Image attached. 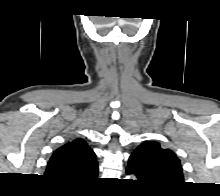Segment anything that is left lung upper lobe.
I'll list each match as a JSON object with an SVG mask.
<instances>
[{
    "label": "left lung upper lobe",
    "mask_w": 220,
    "mask_h": 196,
    "mask_svg": "<svg viewBox=\"0 0 220 196\" xmlns=\"http://www.w3.org/2000/svg\"><path fill=\"white\" fill-rule=\"evenodd\" d=\"M130 159L142 180L157 190H168L183 183L180 160L170 149L161 148L158 142L142 143Z\"/></svg>",
    "instance_id": "5c2ea615"
}]
</instances>
